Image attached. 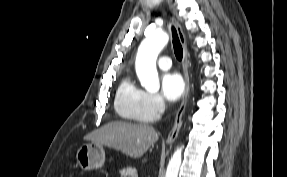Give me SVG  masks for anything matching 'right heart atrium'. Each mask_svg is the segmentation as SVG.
I'll list each match as a JSON object with an SVG mask.
<instances>
[{
	"mask_svg": "<svg viewBox=\"0 0 287 177\" xmlns=\"http://www.w3.org/2000/svg\"><path fill=\"white\" fill-rule=\"evenodd\" d=\"M146 106L149 114L157 118L164 111V102L156 93H146Z\"/></svg>",
	"mask_w": 287,
	"mask_h": 177,
	"instance_id": "obj_1",
	"label": "right heart atrium"
}]
</instances>
